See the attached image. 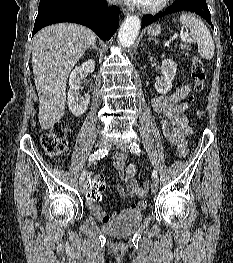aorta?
I'll return each mask as SVG.
<instances>
[{
	"label": "aorta",
	"mask_w": 233,
	"mask_h": 263,
	"mask_svg": "<svg viewBox=\"0 0 233 263\" xmlns=\"http://www.w3.org/2000/svg\"><path fill=\"white\" fill-rule=\"evenodd\" d=\"M140 25V19L136 15H130L125 19L118 32V42L122 47H130L135 42Z\"/></svg>",
	"instance_id": "762f6f07"
}]
</instances>
